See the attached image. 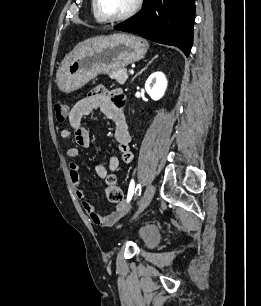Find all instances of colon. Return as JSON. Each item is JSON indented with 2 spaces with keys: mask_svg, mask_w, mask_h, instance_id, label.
Segmentation results:
<instances>
[{
  "mask_svg": "<svg viewBox=\"0 0 261 306\" xmlns=\"http://www.w3.org/2000/svg\"><path fill=\"white\" fill-rule=\"evenodd\" d=\"M55 114L58 121H64L68 115V105L64 102L55 104ZM106 195L109 201L113 203H121L123 201V192L116 183L115 175L111 174L107 178Z\"/></svg>",
  "mask_w": 261,
  "mask_h": 306,
  "instance_id": "5ec220e1",
  "label": "colon"
}]
</instances>
